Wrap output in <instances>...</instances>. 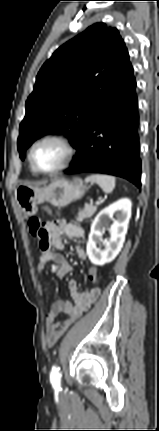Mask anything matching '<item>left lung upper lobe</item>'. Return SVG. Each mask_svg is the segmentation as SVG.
<instances>
[{
  "mask_svg": "<svg viewBox=\"0 0 159 431\" xmlns=\"http://www.w3.org/2000/svg\"><path fill=\"white\" fill-rule=\"evenodd\" d=\"M131 63L117 29L97 23L60 46L40 69L26 101L18 150L45 134H65L73 147L120 84Z\"/></svg>",
  "mask_w": 159,
  "mask_h": 431,
  "instance_id": "obj_1",
  "label": "left lung upper lobe"
}]
</instances>
